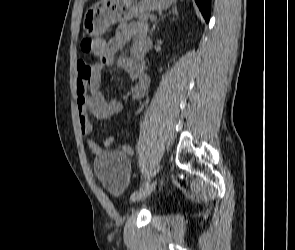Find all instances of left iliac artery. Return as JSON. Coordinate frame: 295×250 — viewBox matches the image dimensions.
I'll use <instances>...</instances> for the list:
<instances>
[{"mask_svg":"<svg viewBox=\"0 0 295 250\" xmlns=\"http://www.w3.org/2000/svg\"><path fill=\"white\" fill-rule=\"evenodd\" d=\"M150 183V179L148 178V180L144 183V185H142L138 190L134 191L131 195V199L134 200L136 197H138L140 195V193L143 191V189L148 186Z\"/></svg>","mask_w":295,"mask_h":250,"instance_id":"44dca946","label":"left iliac artery"}]
</instances>
